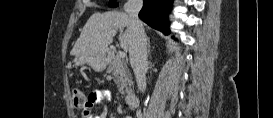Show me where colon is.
Instances as JSON below:
<instances>
[{"instance_id": "obj_1", "label": "colon", "mask_w": 273, "mask_h": 118, "mask_svg": "<svg viewBox=\"0 0 273 118\" xmlns=\"http://www.w3.org/2000/svg\"><path fill=\"white\" fill-rule=\"evenodd\" d=\"M74 107L77 109H83L87 105V99L82 91L75 89L72 94Z\"/></svg>"}]
</instances>
